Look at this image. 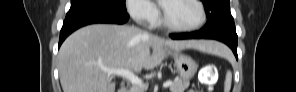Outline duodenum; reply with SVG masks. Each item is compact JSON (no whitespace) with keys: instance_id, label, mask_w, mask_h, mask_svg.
<instances>
[{"instance_id":"1","label":"duodenum","mask_w":296,"mask_h":92,"mask_svg":"<svg viewBox=\"0 0 296 92\" xmlns=\"http://www.w3.org/2000/svg\"><path fill=\"white\" fill-rule=\"evenodd\" d=\"M128 91H129V90H126V89H125V90H122V92H128Z\"/></svg>"}]
</instances>
